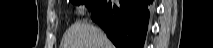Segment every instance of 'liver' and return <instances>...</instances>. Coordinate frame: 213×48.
Returning a JSON list of instances; mask_svg holds the SVG:
<instances>
[{
  "instance_id": "6515ba94",
  "label": "liver",
  "mask_w": 213,
  "mask_h": 48,
  "mask_svg": "<svg viewBox=\"0 0 213 48\" xmlns=\"http://www.w3.org/2000/svg\"><path fill=\"white\" fill-rule=\"evenodd\" d=\"M60 48H114V45L99 28L77 21L63 35Z\"/></svg>"
}]
</instances>
